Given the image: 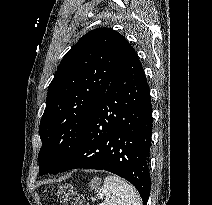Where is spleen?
<instances>
[{
	"mask_svg": "<svg viewBox=\"0 0 212 205\" xmlns=\"http://www.w3.org/2000/svg\"><path fill=\"white\" fill-rule=\"evenodd\" d=\"M104 199L100 205H142L136 189L118 176H107L92 201Z\"/></svg>",
	"mask_w": 212,
	"mask_h": 205,
	"instance_id": "1",
	"label": "spleen"
}]
</instances>
